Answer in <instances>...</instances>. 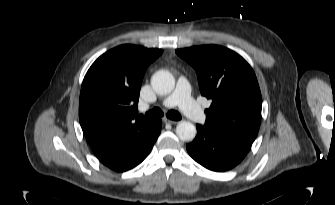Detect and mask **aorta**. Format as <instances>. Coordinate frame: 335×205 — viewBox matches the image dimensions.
Segmentation results:
<instances>
[{
  "instance_id": "aorta-1",
  "label": "aorta",
  "mask_w": 335,
  "mask_h": 205,
  "mask_svg": "<svg viewBox=\"0 0 335 205\" xmlns=\"http://www.w3.org/2000/svg\"><path fill=\"white\" fill-rule=\"evenodd\" d=\"M151 85L157 94L166 95L173 91L175 79L169 71L159 70L152 76ZM176 134L182 141H192L196 136V127L191 122L182 121L176 127Z\"/></svg>"
}]
</instances>
